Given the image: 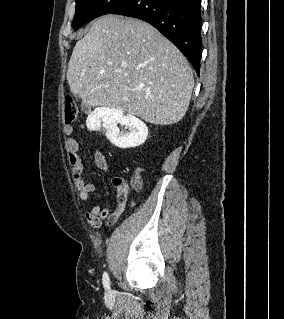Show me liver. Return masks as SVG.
Returning a JSON list of instances; mask_svg holds the SVG:
<instances>
[{
    "label": "liver",
    "instance_id": "6515ba94",
    "mask_svg": "<svg viewBox=\"0 0 284 319\" xmlns=\"http://www.w3.org/2000/svg\"><path fill=\"white\" fill-rule=\"evenodd\" d=\"M71 93L89 106L120 109L156 125L179 122L194 87L186 57L150 24L105 15L72 52Z\"/></svg>",
    "mask_w": 284,
    "mask_h": 319
}]
</instances>
